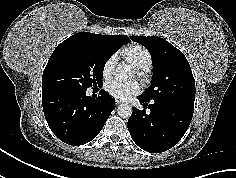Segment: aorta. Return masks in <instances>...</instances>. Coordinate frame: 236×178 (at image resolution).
Returning a JSON list of instances; mask_svg holds the SVG:
<instances>
[{
    "label": "aorta",
    "instance_id": "aorta-1",
    "mask_svg": "<svg viewBox=\"0 0 236 178\" xmlns=\"http://www.w3.org/2000/svg\"><path fill=\"white\" fill-rule=\"evenodd\" d=\"M131 76V72L129 69V66L125 64L118 65L116 72H115V78L117 80H125ZM117 113L122 118H129L132 115V107L128 104H120L117 108Z\"/></svg>",
    "mask_w": 236,
    "mask_h": 178
}]
</instances>
